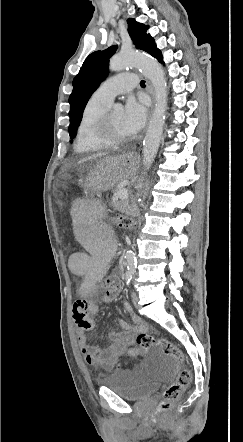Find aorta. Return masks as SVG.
Here are the masks:
<instances>
[{
    "label": "aorta",
    "mask_w": 243,
    "mask_h": 442,
    "mask_svg": "<svg viewBox=\"0 0 243 442\" xmlns=\"http://www.w3.org/2000/svg\"><path fill=\"white\" fill-rule=\"evenodd\" d=\"M109 68L111 71H121L126 68H137L142 74L147 77L153 86L155 94V107L152 113V117L149 122V126L143 141V165L144 170H149L152 162L158 151L164 123H165V112L167 108V83L164 71L161 65L152 57L131 52H122L119 55L113 57L110 60ZM121 107V105H117ZM146 173L144 172V175ZM144 177H142L136 186L137 194L136 197L140 201L141 190L144 185ZM124 259L127 265L128 273H132L135 269V255L132 251H127L124 255Z\"/></svg>",
    "instance_id": "obj_1"
}]
</instances>
